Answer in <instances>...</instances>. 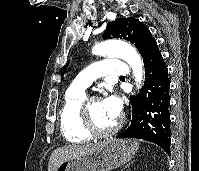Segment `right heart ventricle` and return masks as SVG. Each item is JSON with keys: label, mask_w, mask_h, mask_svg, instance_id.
Instances as JSON below:
<instances>
[{"label": "right heart ventricle", "mask_w": 199, "mask_h": 171, "mask_svg": "<svg viewBox=\"0 0 199 171\" xmlns=\"http://www.w3.org/2000/svg\"><path fill=\"white\" fill-rule=\"evenodd\" d=\"M85 97L84 91L68 88L65 92L59 110V123L61 133L68 142L84 143L92 138V134L85 128L82 113V103Z\"/></svg>", "instance_id": "obj_1"}]
</instances>
